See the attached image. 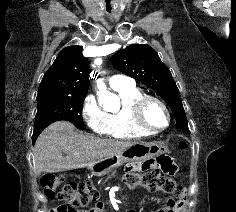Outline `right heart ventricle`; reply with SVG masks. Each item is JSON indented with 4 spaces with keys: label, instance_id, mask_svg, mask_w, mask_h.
<instances>
[{
    "label": "right heart ventricle",
    "instance_id": "e07e8e85",
    "mask_svg": "<svg viewBox=\"0 0 236 212\" xmlns=\"http://www.w3.org/2000/svg\"><path fill=\"white\" fill-rule=\"evenodd\" d=\"M113 90L121 100V107L115 112L106 113L105 135L120 140L138 139L152 135L137 127L133 121V103L143 95V92L134 83Z\"/></svg>",
    "mask_w": 236,
    "mask_h": 212
}]
</instances>
